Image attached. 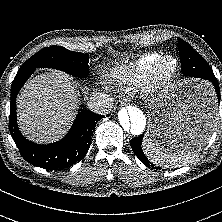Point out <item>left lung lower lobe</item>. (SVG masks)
Here are the masks:
<instances>
[{
	"instance_id": "obj_1",
	"label": "left lung lower lobe",
	"mask_w": 222,
	"mask_h": 222,
	"mask_svg": "<svg viewBox=\"0 0 222 222\" xmlns=\"http://www.w3.org/2000/svg\"><path fill=\"white\" fill-rule=\"evenodd\" d=\"M181 59V72L186 76L197 77L201 79H205L210 81L214 88L218 98L220 101V89L218 85V81L213 73V71H208L199 61L193 56H180ZM144 135H140L139 137L133 138L131 140V147L136 156L147 166H150L148 159L142 151V139ZM153 166V165H152Z\"/></svg>"
}]
</instances>
